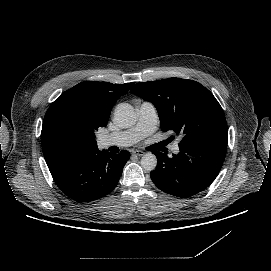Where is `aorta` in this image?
Instances as JSON below:
<instances>
[{"mask_svg":"<svg viewBox=\"0 0 271 271\" xmlns=\"http://www.w3.org/2000/svg\"><path fill=\"white\" fill-rule=\"evenodd\" d=\"M114 120L122 128H130L137 122V114L134 107L129 103H120L114 111ZM141 166L146 171H153L157 166V158L151 152L144 154L141 158Z\"/></svg>","mask_w":271,"mask_h":271,"instance_id":"obj_1","label":"aorta"}]
</instances>
